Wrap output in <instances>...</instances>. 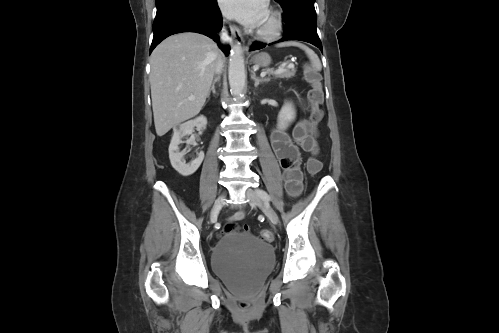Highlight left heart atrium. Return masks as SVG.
Segmentation results:
<instances>
[{"label":"left heart atrium","mask_w":499,"mask_h":333,"mask_svg":"<svg viewBox=\"0 0 499 333\" xmlns=\"http://www.w3.org/2000/svg\"><path fill=\"white\" fill-rule=\"evenodd\" d=\"M222 12L249 27L260 26L267 15V0H219Z\"/></svg>","instance_id":"1"}]
</instances>
